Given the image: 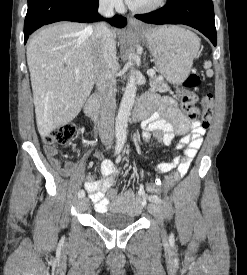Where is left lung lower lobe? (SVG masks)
<instances>
[{
	"mask_svg": "<svg viewBox=\"0 0 247 275\" xmlns=\"http://www.w3.org/2000/svg\"><path fill=\"white\" fill-rule=\"evenodd\" d=\"M135 17L152 24L191 26L202 32L216 46L217 35L212 0H170L156 11L135 15Z\"/></svg>",
	"mask_w": 247,
	"mask_h": 275,
	"instance_id": "0a47b994",
	"label": "left lung lower lobe"
}]
</instances>
